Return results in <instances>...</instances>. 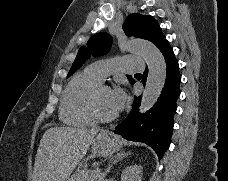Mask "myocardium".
<instances>
[{"instance_id":"f54148a6","label":"myocardium","mask_w":228,"mask_h":181,"mask_svg":"<svg viewBox=\"0 0 228 181\" xmlns=\"http://www.w3.org/2000/svg\"><path fill=\"white\" fill-rule=\"evenodd\" d=\"M112 88V85L109 82H106L105 80L100 81V83L95 87L92 100L90 103V109L94 116V118L99 122H109L116 118V114H104L101 112L99 108V102H98V96L101 90Z\"/></svg>"}]
</instances>
